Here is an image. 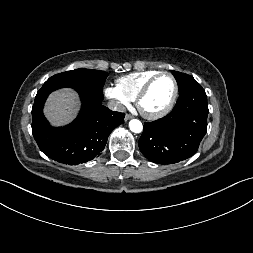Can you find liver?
I'll list each match as a JSON object with an SVG mask.
<instances>
[{"mask_svg":"<svg viewBox=\"0 0 253 253\" xmlns=\"http://www.w3.org/2000/svg\"><path fill=\"white\" fill-rule=\"evenodd\" d=\"M78 95L71 89L53 92L45 105L44 114L54 126L71 122L79 109Z\"/></svg>","mask_w":253,"mask_h":253,"instance_id":"obj_1","label":"liver"}]
</instances>
